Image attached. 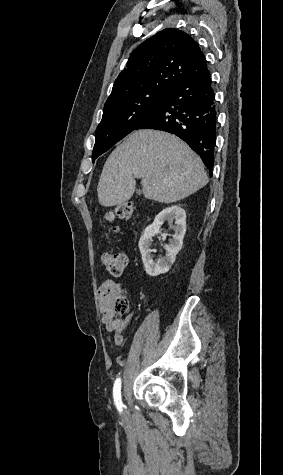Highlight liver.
Returning <instances> with one entry per match:
<instances>
[{"label":"liver","mask_w":283,"mask_h":475,"mask_svg":"<svg viewBox=\"0 0 283 475\" xmlns=\"http://www.w3.org/2000/svg\"><path fill=\"white\" fill-rule=\"evenodd\" d=\"M142 178L144 198L172 204L208 184L204 164L177 136L159 130H136L104 164L97 194L101 206H122Z\"/></svg>","instance_id":"6515ba94"}]
</instances>
